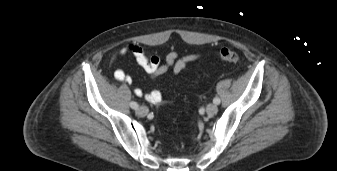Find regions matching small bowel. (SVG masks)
Here are the masks:
<instances>
[{
	"mask_svg": "<svg viewBox=\"0 0 337 171\" xmlns=\"http://www.w3.org/2000/svg\"><path fill=\"white\" fill-rule=\"evenodd\" d=\"M127 55L132 56L151 79H156L169 70H172L173 75H178L186 69L189 63L202 57L201 52H194L180 57L178 52L171 51L166 55L164 61L162 62L158 54L154 53L148 55L141 46L137 44H128L114 54L112 61ZM114 78L118 82L126 84L132 83V77L122 68H117L114 71ZM134 93L139 97L144 96L151 103H158L162 99L159 89H154L149 93H145L141 88L137 87L134 89Z\"/></svg>",
	"mask_w": 337,
	"mask_h": 171,
	"instance_id": "1",
	"label": "small bowel"
}]
</instances>
